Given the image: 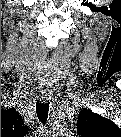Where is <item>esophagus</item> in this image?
<instances>
[{
	"instance_id": "obj_1",
	"label": "esophagus",
	"mask_w": 121,
	"mask_h": 137,
	"mask_svg": "<svg viewBox=\"0 0 121 137\" xmlns=\"http://www.w3.org/2000/svg\"><path fill=\"white\" fill-rule=\"evenodd\" d=\"M40 97L43 102H47L51 97V90L49 88L42 89Z\"/></svg>"
}]
</instances>
